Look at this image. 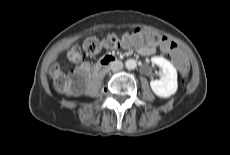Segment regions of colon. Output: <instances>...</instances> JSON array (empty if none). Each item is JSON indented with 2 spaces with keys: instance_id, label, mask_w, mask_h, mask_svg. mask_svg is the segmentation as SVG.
Masks as SVG:
<instances>
[{
  "instance_id": "5ec220e1",
  "label": "colon",
  "mask_w": 230,
  "mask_h": 155,
  "mask_svg": "<svg viewBox=\"0 0 230 155\" xmlns=\"http://www.w3.org/2000/svg\"><path fill=\"white\" fill-rule=\"evenodd\" d=\"M132 45L141 47L159 45L170 55L171 59L177 65L180 80L182 82L189 80L186 61L175 42L151 31L135 30L125 33L121 37L116 34H108L103 39L88 37L83 42L82 50L78 47H72L68 52V58L78 63V67L70 77H67L63 73L61 66L58 63H54L50 67V76L55 88L60 92L72 94L85 87L90 66L81 62L83 54L86 56H95L99 54L103 48L117 49L120 46L129 47Z\"/></svg>"
}]
</instances>
